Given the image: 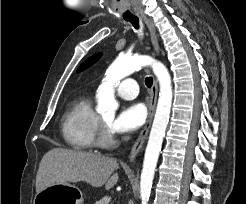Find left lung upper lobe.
<instances>
[{"label":"left lung upper lobe","mask_w":246,"mask_h":204,"mask_svg":"<svg viewBox=\"0 0 246 204\" xmlns=\"http://www.w3.org/2000/svg\"><path fill=\"white\" fill-rule=\"evenodd\" d=\"M101 55H102L101 53H98L87 59L84 63L80 65L77 72H81L87 69L88 67H90L91 65H93L101 57Z\"/></svg>","instance_id":"left-lung-upper-lobe-1"}]
</instances>
